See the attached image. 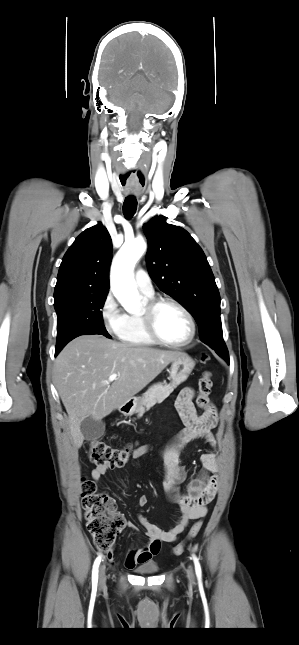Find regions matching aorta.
<instances>
[{"instance_id": "aorta-1", "label": "aorta", "mask_w": 299, "mask_h": 645, "mask_svg": "<svg viewBox=\"0 0 299 645\" xmlns=\"http://www.w3.org/2000/svg\"><path fill=\"white\" fill-rule=\"evenodd\" d=\"M145 250L146 243L142 239L126 242L117 253L112 265L111 290L117 300L129 312H134L140 307V298L133 270Z\"/></svg>"}]
</instances>
